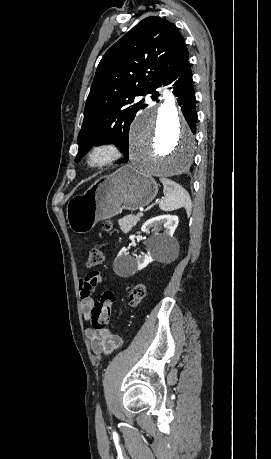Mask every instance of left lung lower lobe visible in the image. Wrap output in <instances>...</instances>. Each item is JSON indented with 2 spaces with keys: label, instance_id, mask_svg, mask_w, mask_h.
<instances>
[{
  "label": "left lung lower lobe",
  "instance_id": "0a47b994",
  "mask_svg": "<svg viewBox=\"0 0 271 459\" xmlns=\"http://www.w3.org/2000/svg\"><path fill=\"white\" fill-rule=\"evenodd\" d=\"M192 76L193 73L191 70V64L188 59L174 73H172L168 78H166L160 85H171L173 87V93L175 94V96L178 97L177 101L181 106L184 117L189 127L191 128L193 134H195L197 112L195 108V92ZM151 94H153L151 98L154 101H158V92H156L155 89L151 92ZM142 108H144V105H142ZM127 160L128 156L125 157V161Z\"/></svg>",
  "mask_w": 271,
  "mask_h": 459
}]
</instances>
